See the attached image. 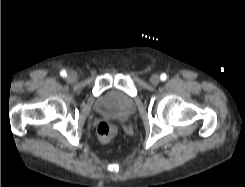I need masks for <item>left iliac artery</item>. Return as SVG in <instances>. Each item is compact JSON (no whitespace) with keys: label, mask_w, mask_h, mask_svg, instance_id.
<instances>
[{"label":"left iliac artery","mask_w":245,"mask_h":187,"mask_svg":"<svg viewBox=\"0 0 245 187\" xmlns=\"http://www.w3.org/2000/svg\"><path fill=\"white\" fill-rule=\"evenodd\" d=\"M160 79L165 81L167 79V75L165 73L161 74Z\"/></svg>","instance_id":"1"}]
</instances>
